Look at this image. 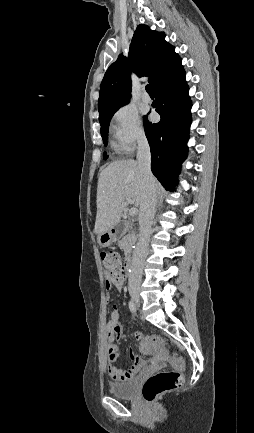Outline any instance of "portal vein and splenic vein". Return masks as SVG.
<instances>
[{
	"mask_svg": "<svg viewBox=\"0 0 254 433\" xmlns=\"http://www.w3.org/2000/svg\"><path fill=\"white\" fill-rule=\"evenodd\" d=\"M126 201H127V203H129V204H133V201H132L130 198H126ZM137 212H138L137 208L133 207V208H131V209L129 210V215H130V216H135V215H137Z\"/></svg>",
	"mask_w": 254,
	"mask_h": 433,
	"instance_id": "obj_1",
	"label": "portal vein and splenic vein"
}]
</instances>
